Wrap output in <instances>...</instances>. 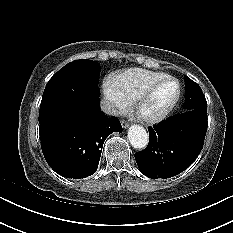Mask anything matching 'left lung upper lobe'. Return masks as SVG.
Masks as SVG:
<instances>
[{
    "label": "left lung upper lobe",
    "instance_id": "5c2ea615",
    "mask_svg": "<svg viewBox=\"0 0 233 233\" xmlns=\"http://www.w3.org/2000/svg\"><path fill=\"white\" fill-rule=\"evenodd\" d=\"M186 101L183 105L186 110L207 108L205 96L199 85L190 78L185 77Z\"/></svg>",
    "mask_w": 233,
    "mask_h": 233
}]
</instances>
